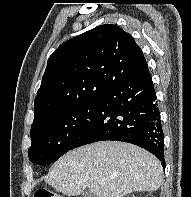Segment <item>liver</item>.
Masks as SVG:
<instances>
[{
  "mask_svg": "<svg viewBox=\"0 0 191 197\" xmlns=\"http://www.w3.org/2000/svg\"><path fill=\"white\" fill-rule=\"evenodd\" d=\"M45 182L68 196L88 188L97 197H123L131 192L158 190L163 169L153 154L138 146L100 141L64 154L53 164Z\"/></svg>",
  "mask_w": 191,
  "mask_h": 197,
  "instance_id": "6515ba94",
  "label": "liver"
}]
</instances>
